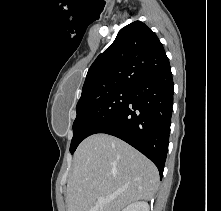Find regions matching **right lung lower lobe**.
<instances>
[{
  "label": "right lung lower lobe",
  "instance_id": "1",
  "mask_svg": "<svg viewBox=\"0 0 221 211\" xmlns=\"http://www.w3.org/2000/svg\"><path fill=\"white\" fill-rule=\"evenodd\" d=\"M174 85L170 68L131 87L125 106L96 133L116 136L148 157L162 178L168 151Z\"/></svg>",
  "mask_w": 221,
  "mask_h": 211
}]
</instances>
